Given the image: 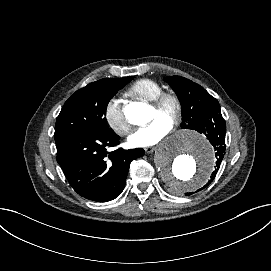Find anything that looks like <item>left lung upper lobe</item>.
<instances>
[{
  "label": "left lung upper lobe",
  "mask_w": 271,
  "mask_h": 271,
  "mask_svg": "<svg viewBox=\"0 0 271 271\" xmlns=\"http://www.w3.org/2000/svg\"><path fill=\"white\" fill-rule=\"evenodd\" d=\"M165 81L176 92L182 104L183 129L196 130L214 113L221 112L218 100L199 84L180 76H168Z\"/></svg>",
  "instance_id": "1"
}]
</instances>
